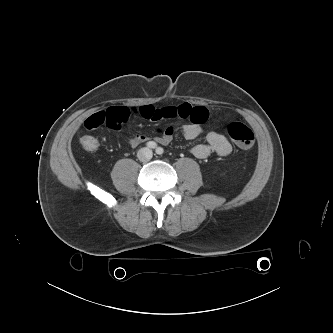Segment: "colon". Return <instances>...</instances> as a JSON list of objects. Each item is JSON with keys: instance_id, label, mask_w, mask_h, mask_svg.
Returning a JSON list of instances; mask_svg holds the SVG:
<instances>
[{"instance_id": "colon-1", "label": "colon", "mask_w": 333, "mask_h": 333, "mask_svg": "<svg viewBox=\"0 0 333 333\" xmlns=\"http://www.w3.org/2000/svg\"><path fill=\"white\" fill-rule=\"evenodd\" d=\"M227 133L235 144L242 149H250L255 142L252 130L241 122H231L227 126ZM80 144L86 151H95L98 148V140L91 135L80 138Z\"/></svg>"}]
</instances>
